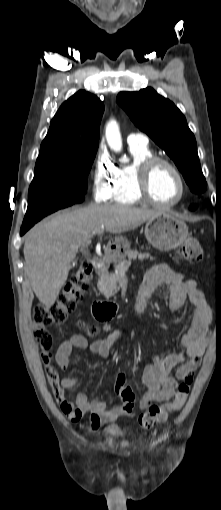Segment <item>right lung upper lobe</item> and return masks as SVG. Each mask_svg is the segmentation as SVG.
I'll list each match as a JSON object with an SVG mask.
<instances>
[{
  "instance_id": "obj_1",
  "label": "right lung upper lobe",
  "mask_w": 221,
  "mask_h": 510,
  "mask_svg": "<svg viewBox=\"0 0 221 510\" xmlns=\"http://www.w3.org/2000/svg\"><path fill=\"white\" fill-rule=\"evenodd\" d=\"M103 102L80 90L65 101L51 121L37 159L98 147Z\"/></svg>"
}]
</instances>
